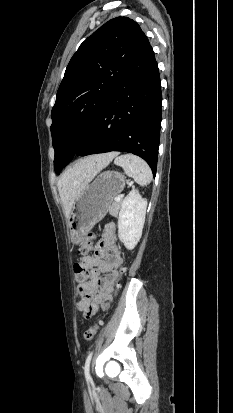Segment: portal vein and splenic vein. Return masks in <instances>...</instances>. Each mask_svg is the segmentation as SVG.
<instances>
[{"instance_id": "portal-vein-and-splenic-vein-1", "label": "portal vein and splenic vein", "mask_w": 233, "mask_h": 413, "mask_svg": "<svg viewBox=\"0 0 233 413\" xmlns=\"http://www.w3.org/2000/svg\"><path fill=\"white\" fill-rule=\"evenodd\" d=\"M114 200H115L116 202H119V201H121V197H120V196H116Z\"/></svg>"}]
</instances>
